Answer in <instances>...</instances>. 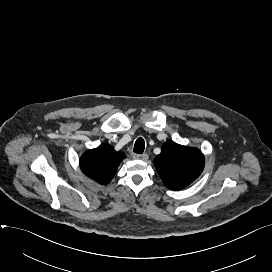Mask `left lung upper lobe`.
<instances>
[{"label":"left lung upper lobe","mask_w":272,"mask_h":272,"mask_svg":"<svg viewBox=\"0 0 272 272\" xmlns=\"http://www.w3.org/2000/svg\"><path fill=\"white\" fill-rule=\"evenodd\" d=\"M205 159L197 148L179 145L173 141L163 144L154 165L165 186L181 190L196 180L202 173Z\"/></svg>","instance_id":"obj_1"}]
</instances>
